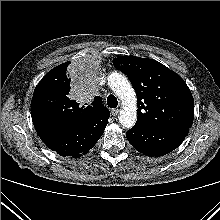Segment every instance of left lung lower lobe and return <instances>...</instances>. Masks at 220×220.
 I'll return each instance as SVG.
<instances>
[{
    "mask_svg": "<svg viewBox=\"0 0 220 220\" xmlns=\"http://www.w3.org/2000/svg\"><path fill=\"white\" fill-rule=\"evenodd\" d=\"M189 128L182 126L151 127L136 123L126 132L131 145L148 156H163L176 149L185 139Z\"/></svg>",
    "mask_w": 220,
    "mask_h": 220,
    "instance_id": "0a47b994",
    "label": "left lung lower lobe"
}]
</instances>
